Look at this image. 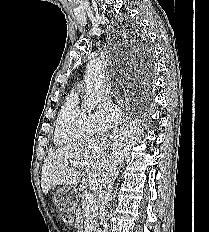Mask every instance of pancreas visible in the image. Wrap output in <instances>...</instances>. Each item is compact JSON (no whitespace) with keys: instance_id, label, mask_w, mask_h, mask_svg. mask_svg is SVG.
<instances>
[{"instance_id":"cf45deb5","label":"pancreas","mask_w":209,"mask_h":232,"mask_svg":"<svg viewBox=\"0 0 209 232\" xmlns=\"http://www.w3.org/2000/svg\"><path fill=\"white\" fill-rule=\"evenodd\" d=\"M83 200L81 202L82 208L86 214V229L88 231L92 230L95 223V218L98 210V202L95 196L91 195L88 192L83 194Z\"/></svg>"}]
</instances>
